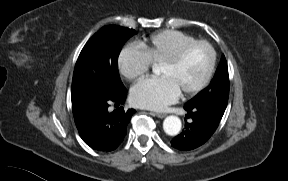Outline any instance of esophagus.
Here are the masks:
<instances>
[{
  "label": "esophagus",
  "mask_w": 288,
  "mask_h": 181,
  "mask_svg": "<svg viewBox=\"0 0 288 181\" xmlns=\"http://www.w3.org/2000/svg\"><path fill=\"white\" fill-rule=\"evenodd\" d=\"M158 118H164L166 116V113H161V112H155L154 113Z\"/></svg>",
  "instance_id": "esophagus-1"
}]
</instances>
